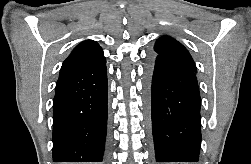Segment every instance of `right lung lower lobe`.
<instances>
[{"label": "right lung lower lobe", "mask_w": 251, "mask_h": 164, "mask_svg": "<svg viewBox=\"0 0 251 164\" xmlns=\"http://www.w3.org/2000/svg\"><path fill=\"white\" fill-rule=\"evenodd\" d=\"M106 65L59 77L53 101V161L106 162Z\"/></svg>", "instance_id": "98d812e1"}]
</instances>
